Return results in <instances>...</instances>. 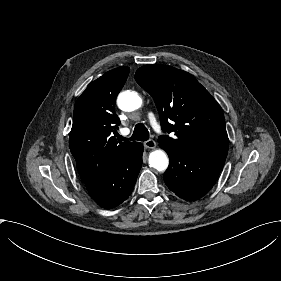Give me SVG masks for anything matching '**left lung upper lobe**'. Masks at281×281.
I'll list each match as a JSON object with an SVG mask.
<instances>
[{
    "mask_svg": "<svg viewBox=\"0 0 281 281\" xmlns=\"http://www.w3.org/2000/svg\"><path fill=\"white\" fill-rule=\"evenodd\" d=\"M137 83L154 99L164 131L159 144L192 156L226 158L228 136L220 105L189 73L168 65H144Z\"/></svg>",
    "mask_w": 281,
    "mask_h": 281,
    "instance_id": "1",
    "label": "left lung upper lobe"
}]
</instances>
